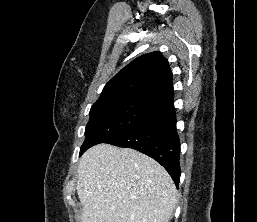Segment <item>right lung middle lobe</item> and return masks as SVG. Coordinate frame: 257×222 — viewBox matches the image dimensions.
<instances>
[{
    "label": "right lung middle lobe",
    "instance_id": "dd1d6c3e",
    "mask_svg": "<svg viewBox=\"0 0 257 222\" xmlns=\"http://www.w3.org/2000/svg\"><path fill=\"white\" fill-rule=\"evenodd\" d=\"M161 108L159 104L144 99L97 100L90 110L80 155L89 147L105 143L135 126Z\"/></svg>",
    "mask_w": 257,
    "mask_h": 222
}]
</instances>
